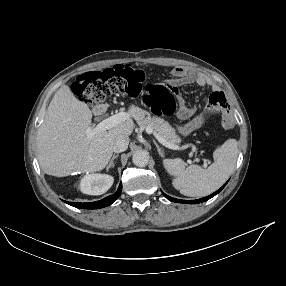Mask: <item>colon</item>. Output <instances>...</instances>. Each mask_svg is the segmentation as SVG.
<instances>
[{
    "instance_id": "1",
    "label": "colon",
    "mask_w": 286,
    "mask_h": 286,
    "mask_svg": "<svg viewBox=\"0 0 286 286\" xmlns=\"http://www.w3.org/2000/svg\"><path fill=\"white\" fill-rule=\"evenodd\" d=\"M73 92L87 104L102 103L118 94L137 96L157 115H172L176 110L175 96L170 86L162 83H148L143 71L128 65H118L100 71L83 73L73 81ZM213 113V112H210ZM207 116L184 122L180 131L189 135L192 131L206 128Z\"/></svg>"
}]
</instances>
